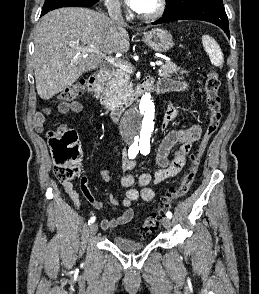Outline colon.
<instances>
[{"label": "colon", "mask_w": 259, "mask_h": 294, "mask_svg": "<svg viewBox=\"0 0 259 294\" xmlns=\"http://www.w3.org/2000/svg\"><path fill=\"white\" fill-rule=\"evenodd\" d=\"M220 78L215 70H211L205 81L206 104L209 110V120L197 154L193 158L192 166L182 177L178 185L170 188L161 198L157 209L152 212L141 224L140 232L143 236L154 233L164 212L171 207L173 202L184 197L190 190L195 179L201 156L216 131L222 118L221 98L219 95ZM85 80H80L72 86L64 89L57 96L60 102H72L82 94ZM50 149L55 161L54 173L61 182H70L78 174L81 162V149L78 144L77 133L64 126L59 125L48 134Z\"/></svg>", "instance_id": "5ec220e1"}]
</instances>
